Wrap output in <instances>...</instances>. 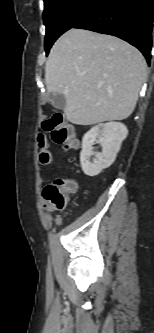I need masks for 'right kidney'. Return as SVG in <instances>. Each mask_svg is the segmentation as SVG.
<instances>
[{
  "label": "right kidney",
  "mask_w": 154,
  "mask_h": 333,
  "mask_svg": "<svg viewBox=\"0 0 154 333\" xmlns=\"http://www.w3.org/2000/svg\"><path fill=\"white\" fill-rule=\"evenodd\" d=\"M127 135V127L120 122H109L92 127L82 139L80 163L83 172L88 176H96L111 166ZM95 143L101 145L100 153H94ZM91 156H95L92 162Z\"/></svg>",
  "instance_id": "right-kidney-1"
}]
</instances>
